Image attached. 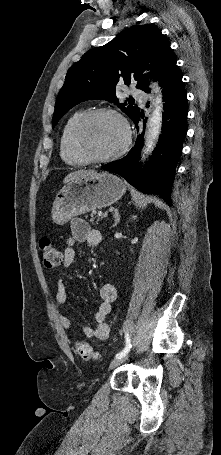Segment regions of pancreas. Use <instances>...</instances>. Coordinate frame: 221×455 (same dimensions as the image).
Instances as JSON below:
<instances>
[{
	"label": "pancreas",
	"mask_w": 221,
	"mask_h": 455,
	"mask_svg": "<svg viewBox=\"0 0 221 455\" xmlns=\"http://www.w3.org/2000/svg\"><path fill=\"white\" fill-rule=\"evenodd\" d=\"M98 221H99V219H97V217L95 216V212H92L91 218H90V222H91L92 224H95V223L97 224Z\"/></svg>",
	"instance_id": "pancreas-1"
}]
</instances>
